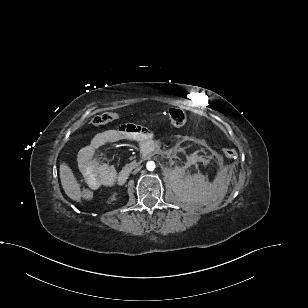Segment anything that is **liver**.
<instances>
[{"instance_id": "6515ba94", "label": "liver", "mask_w": 308, "mask_h": 308, "mask_svg": "<svg viewBox=\"0 0 308 308\" xmlns=\"http://www.w3.org/2000/svg\"><path fill=\"white\" fill-rule=\"evenodd\" d=\"M60 179L65 193L75 201L80 200L81 191L70 167L63 162L60 165Z\"/></svg>"}]
</instances>
